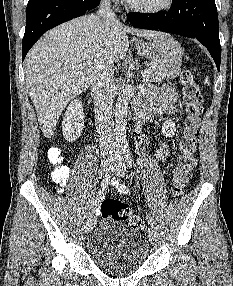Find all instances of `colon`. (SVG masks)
<instances>
[{"mask_svg": "<svg viewBox=\"0 0 233 286\" xmlns=\"http://www.w3.org/2000/svg\"><path fill=\"white\" fill-rule=\"evenodd\" d=\"M181 85L186 115L184 131L179 143L180 156L174 168L172 178L173 193L176 196L183 194L196 165L194 154L197 145L200 116L203 111L202 94L190 71L185 70L181 74ZM48 155L50 163L54 166V180L64 184L69 177V172L61 166L62 153L60 149L52 148ZM101 213L104 218L127 220L130 226L136 230L145 228L144 221L138 216L131 215L129 207L116 199L106 198L101 204Z\"/></svg>", "mask_w": 233, "mask_h": 286, "instance_id": "colon-1", "label": "colon"}]
</instances>
